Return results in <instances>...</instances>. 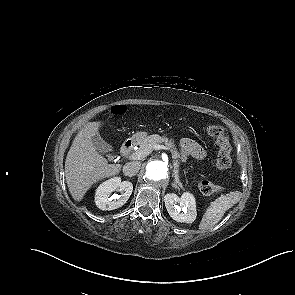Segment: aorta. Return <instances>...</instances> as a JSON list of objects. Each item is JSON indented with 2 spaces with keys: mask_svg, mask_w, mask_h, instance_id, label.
Here are the masks:
<instances>
[{
  "mask_svg": "<svg viewBox=\"0 0 295 295\" xmlns=\"http://www.w3.org/2000/svg\"><path fill=\"white\" fill-rule=\"evenodd\" d=\"M168 167L160 161L154 160L147 164L145 171L146 181L150 184H157L168 179Z\"/></svg>",
  "mask_w": 295,
  "mask_h": 295,
  "instance_id": "1",
  "label": "aorta"
}]
</instances>
